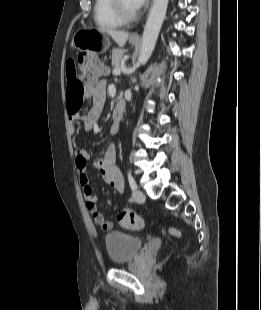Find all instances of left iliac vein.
<instances>
[{
  "label": "left iliac vein",
  "instance_id": "1",
  "mask_svg": "<svg viewBox=\"0 0 261 310\" xmlns=\"http://www.w3.org/2000/svg\"><path fill=\"white\" fill-rule=\"evenodd\" d=\"M133 198L138 203H143L145 201V194L141 190H135L133 192Z\"/></svg>",
  "mask_w": 261,
  "mask_h": 310
}]
</instances>
